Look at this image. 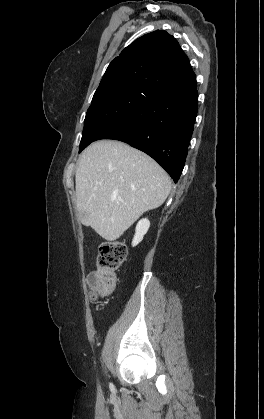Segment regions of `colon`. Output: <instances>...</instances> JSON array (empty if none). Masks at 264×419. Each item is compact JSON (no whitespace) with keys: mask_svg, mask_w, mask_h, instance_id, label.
<instances>
[{"mask_svg":"<svg viewBox=\"0 0 264 419\" xmlns=\"http://www.w3.org/2000/svg\"><path fill=\"white\" fill-rule=\"evenodd\" d=\"M126 255L127 248L122 242H105L100 245L97 267L88 278V286L94 300L114 291L116 272L125 261Z\"/></svg>","mask_w":264,"mask_h":419,"instance_id":"colon-1","label":"colon"}]
</instances>
